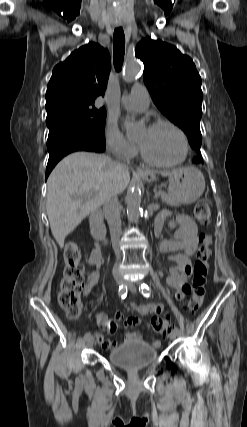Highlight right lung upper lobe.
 Masks as SVG:
<instances>
[{
    "label": "right lung upper lobe",
    "mask_w": 247,
    "mask_h": 427,
    "mask_svg": "<svg viewBox=\"0 0 247 427\" xmlns=\"http://www.w3.org/2000/svg\"><path fill=\"white\" fill-rule=\"evenodd\" d=\"M110 56L99 44L89 43L74 51L52 72L47 86V114L63 107L94 106L104 96Z\"/></svg>",
    "instance_id": "1"
}]
</instances>
